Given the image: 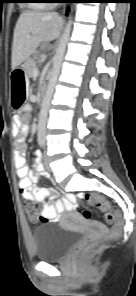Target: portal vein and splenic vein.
I'll return each mask as SVG.
<instances>
[{
    "label": "portal vein and splenic vein",
    "mask_w": 136,
    "mask_h": 296,
    "mask_svg": "<svg viewBox=\"0 0 136 296\" xmlns=\"http://www.w3.org/2000/svg\"><path fill=\"white\" fill-rule=\"evenodd\" d=\"M27 37H30V35H27ZM38 74H39V69L35 68L34 71H33V75L37 76Z\"/></svg>",
    "instance_id": "1"
}]
</instances>
